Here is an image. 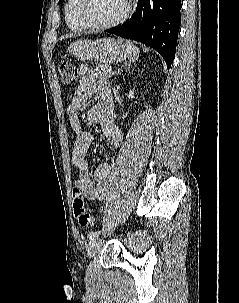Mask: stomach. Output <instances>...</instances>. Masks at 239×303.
Listing matches in <instances>:
<instances>
[{
  "label": "stomach",
  "instance_id": "1",
  "mask_svg": "<svg viewBox=\"0 0 239 303\" xmlns=\"http://www.w3.org/2000/svg\"><path fill=\"white\" fill-rule=\"evenodd\" d=\"M68 50L78 59L96 60L104 64L119 61L127 56L126 44L113 38L77 40L70 44Z\"/></svg>",
  "mask_w": 239,
  "mask_h": 303
}]
</instances>
